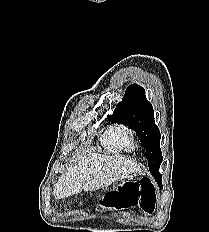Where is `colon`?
Here are the masks:
<instances>
[{"mask_svg": "<svg viewBox=\"0 0 209 232\" xmlns=\"http://www.w3.org/2000/svg\"><path fill=\"white\" fill-rule=\"evenodd\" d=\"M99 205L116 208L139 207L144 213L152 214L156 209L154 183L148 178L128 182L117 193H105Z\"/></svg>", "mask_w": 209, "mask_h": 232, "instance_id": "obj_1", "label": "colon"}]
</instances>
